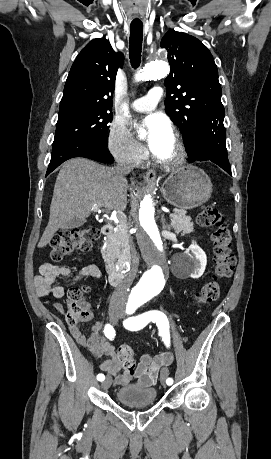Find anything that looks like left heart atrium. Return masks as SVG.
<instances>
[{"label": "left heart atrium", "mask_w": 271, "mask_h": 459, "mask_svg": "<svg viewBox=\"0 0 271 459\" xmlns=\"http://www.w3.org/2000/svg\"><path fill=\"white\" fill-rule=\"evenodd\" d=\"M146 142L152 151L171 134L169 122L162 115H150L144 120Z\"/></svg>", "instance_id": "left-heart-atrium-1"}]
</instances>
